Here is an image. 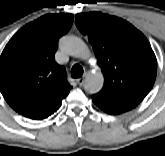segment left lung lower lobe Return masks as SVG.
<instances>
[{
  "label": "left lung lower lobe",
  "instance_id": "left-lung-lower-lobe-1",
  "mask_svg": "<svg viewBox=\"0 0 165 156\" xmlns=\"http://www.w3.org/2000/svg\"><path fill=\"white\" fill-rule=\"evenodd\" d=\"M92 100L96 106H98L101 110H103L104 112H106L108 114L118 115V114L126 112V111L110 104L109 102H107L106 100L102 99L101 97H99L95 94L92 95Z\"/></svg>",
  "mask_w": 165,
  "mask_h": 156
}]
</instances>
